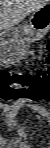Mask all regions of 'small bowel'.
Segmentation results:
<instances>
[{"mask_svg":"<svg viewBox=\"0 0 50 148\" xmlns=\"http://www.w3.org/2000/svg\"><path fill=\"white\" fill-rule=\"evenodd\" d=\"M25 108L30 109L43 117H48V113L45 109H43L37 105H33V104L16 103L13 106H8V105L4 106L3 111H4V115H5L7 124L9 126L15 127L17 130V134H18V138L16 140L8 143L7 147L29 148L28 144L25 142L28 137L26 131L23 128L18 127L15 122L16 114L20 110L25 109ZM4 144H6L5 141H3V146H4Z\"/></svg>","mask_w":50,"mask_h":148,"instance_id":"1","label":"small bowel"}]
</instances>
